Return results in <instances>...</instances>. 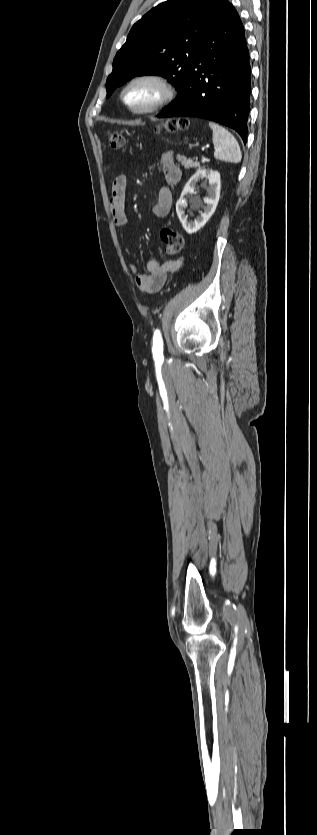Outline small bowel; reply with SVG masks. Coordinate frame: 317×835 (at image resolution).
Wrapping results in <instances>:
<instances>
[{"label": "small bowel", "instance_id": "1", "mask_svg": "<svg viewBox=\"0 0 317 835\" xmlns=\"http://www.w3.org/2000/svg\"><path fill=\"white\" fill-rule=\"evenodd\" d=\"M161 165L165 184L160 187L158 200L152 207L153 213L157 217H165L169 214L173 201L169 186L177 184L182 177V170L175 163L172 154L164 155ZM126 183L125 175L119 174L114 178L111 187L110 212L114 225L119 229L127 225L125 213ZM183 261V256L163 261L149 259L146 262L147 273H138L136 265H131V269L136 274L135 282L138 288L151 293L158 291L163 286L167 275L177 271Z\"/></svg>", "mask_w": 317, "mask_h": 835}]
</instances>
